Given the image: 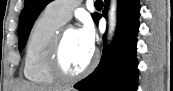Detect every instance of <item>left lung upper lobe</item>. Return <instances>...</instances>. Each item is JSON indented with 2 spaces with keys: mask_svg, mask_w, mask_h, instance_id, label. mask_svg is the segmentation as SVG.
I'll return each mask as SVG.
<instances>
[{
  "mask_svg": "<svg viewBox=\"0 0 173 91\" xmlns=\"http://www.w3.org/2000/svg\"><path fill=\"white\" fill-rule=\"evenodd\" d=\"M50 2L51 0H25V7L20 15L18 28V46L20 50L24 48L30 30L37 16L40 14L43 8ZM95 14L93 15V18L95 17Z\"/></svg>",
  "mask_w": 173,
  "mask_h": 91,
  "instance_id": "1",
  "label": "left lung upper lobe"
}]
</instances>
